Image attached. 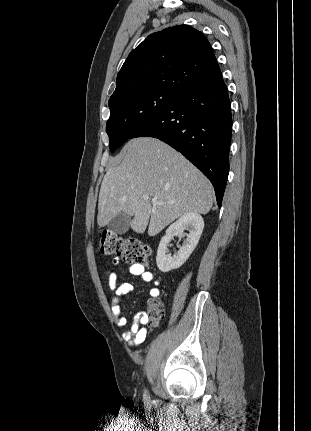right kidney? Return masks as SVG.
Segmentation results:
<instances>
[{"instance_id":"right-kidney-1","label":"right kidney","mask_w":311,"mask_h":431,"mask_svg":"<svg viewBox=\"0 0 311 431\" xmlns=\"http://www.w3.org/2000/svg\"><path fill=\"white\" fill-rule=\"evenodd\" d=\"M203 227L204 219L197 212H188V214H184L177 221L171 223L168 229H166V235H163L159 243L156 255V263L159 269L161 271H170V269L180 267L188 259L193 249H195ZM183 229H188L189 233H183ZM173 235H187V237L184 239L182 245H180L179 251L171 255V253H167V245L173 239Z\"/></svg>"}]
</instances>
